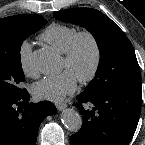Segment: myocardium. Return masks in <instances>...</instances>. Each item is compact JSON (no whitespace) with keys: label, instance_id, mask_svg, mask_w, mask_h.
Returning <instances> with one entry per match:
<instances>
[{"label":"myocardium","instance_id":"obj_1","mask_svg":"<svg viewBox=\"0 0 145 145\" xmlns=\"http://www.w3.org/2000/svg\"><path fill=\"white\" fill-rule=\"evenodd\" d=\"M83 40L88 41L91 45L93 61L90 70L85 75L78 78V80L81 83H89L96 77L102 61L101 46L94 33L89 30L78 31L74 36L68 50L64 53L63 61L67 66L71 65L75 61L80 44Z\"/></svg>","mask_w":145,"mask_h":145}]
</instances>
